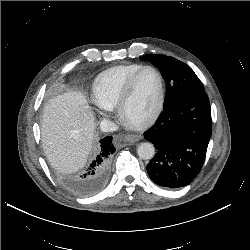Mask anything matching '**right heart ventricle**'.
Listing matches in <instances>:
<instances>
[{"label":"right heart ventricle","mask_w":250,"mask_h":250,"mask_svg":"<svg viewBox=\"0 0 250 250\" xmlns=\"http://www.w3.org/2000/svg\"><path fill=\"white\" fill-rule=\"evenodd\" d=\"M142 67L143 65L140 64H126L100 73L92 86V96L95 103L108 110L116 107L127 81Z\"/></svg>","instance_id":"1"}]
</instances>
